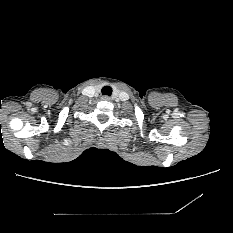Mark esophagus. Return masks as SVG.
<instances>
[{
	"instance_id": "34e87169",
	"label": "esophagus",
	"mask_w": 233,
	"mask_h": 233,
	"mask_svg": "<svg viewBox=\"0 0 233 233\" xmlns=\"http://www.w3.org/2000/svg\"><path fill=\"white\" fill-rule=\"evenodd\" d=\"M102 100L108 101V100H110V97L105 95V96L102 97Z\"/></svg>"
}]
</instances>
